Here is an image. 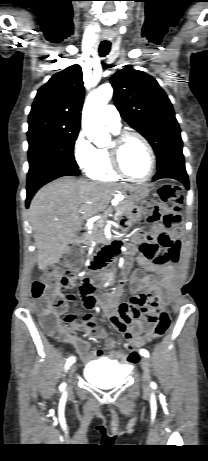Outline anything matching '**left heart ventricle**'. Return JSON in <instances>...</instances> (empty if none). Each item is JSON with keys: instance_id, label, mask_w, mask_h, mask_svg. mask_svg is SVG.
Instances as JSON below:
<instances>
[{"instance_id": "left-heart-ventricle-1", "label": "left heart ventricle", "mask_w": 208, "mask_h": 461, "mask_svg": "<svg viewBox=\"0 0 208 461\" xmlns=\"http://www.w3.org/2000/svg\"><path fill=\"white\" fill-rule=\"evenodd\" d=\"M121 163L131 176L142 178L150 168V157L143 143L137 138H129L121 150Z\"/></svg>"}]
</instances>
